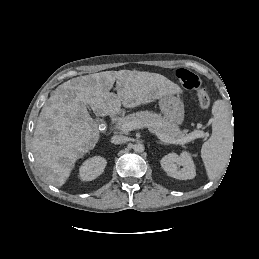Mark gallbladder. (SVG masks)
Returning <instances> with one entry per match:
<instances>
[{
    "label": "gallbladder",
    "instance_id": "bac80fb5",
    "mask_svg": "<svg viewBox=\"0 0 259 259\" xmlns=\"http://www.w3.org/2000/svg\"><path fill=\"white\" fill-rule=\"evenodd\" d=\"M96 122H97V123H101L102 120L98 118V119H96Z\"/></svg>",
    "mask_w": 259,
    "mask_h": 259
}]
</instances>
